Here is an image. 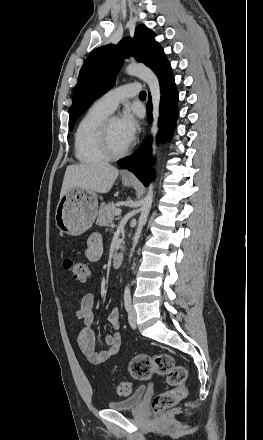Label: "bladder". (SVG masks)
Listing matches in <instances>:
<instances>
[{"mask_svg": "<svg viewBox=\"0 0 263 440\" xmlns=\"http://www.w3.org/2000/svg\"><path fill=\"white\" fill-rule=\"evenodd\" d=\"M146 390L147 389L145 386H139L129 396L122 398V399L110 401V402H108L107 406L109 409L116 410V411L134 410L140 405L142 399L144 398V396L146 394Z\"/></svg>", "mask_w": 263, "mask_h": 440, "instance_id": "obj_1", "label": "bladder"}]
</instances>
